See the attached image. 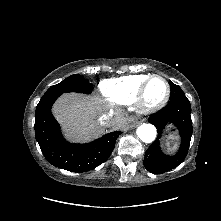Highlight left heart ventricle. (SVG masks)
Listing matches in <instances>:
<instances>
[{"instance_id":"1","label":"left heart ventricle","mask_w":221,"mask_h":221,"mask_svg":"<svg viewBox=\"0 0 221 221\" xmlns=\"http://www.w3.org/2000/svg\"><path fill=\"white\" fill-rule=\"evenodd\" d=\"M166 93V87L160 79H153L146 91V101L156 103L160 101Z\"/></svg>"}]
</instances>
